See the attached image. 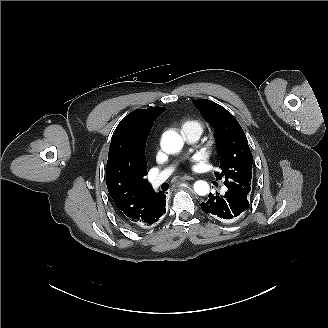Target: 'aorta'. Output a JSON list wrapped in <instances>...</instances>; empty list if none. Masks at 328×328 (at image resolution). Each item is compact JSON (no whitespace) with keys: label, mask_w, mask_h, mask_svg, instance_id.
<instances>
[{"label":"aorta","mask_w":328,"mask_h":328,"mask_svg":"<svg viewBox=\"0 0 328 328\" xmlns=\"http://www.w3.org/2000/svg\"><path fill=\"white\" fill-rule=\"evenodd\" d=\"M161 144L168 152L174 153L180 151L184 143L182 137L178 133L170 131L163 135ZM209 190L210 187L206 181L199 180L194 183V191L200 196L208 194Z\"/></svg>","instance_id":"obj_1"}]
</instances>
